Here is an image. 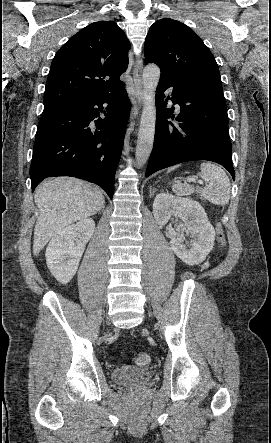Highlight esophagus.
Listing matches in <instances>:
<instances>
[{
	"label": "esophagus",
	"mask_w": 271,
	"mask_h": 443,
	"mask_svg": "<svg viewBox=\"0 0 271 443\" xmlns=\"http://www.w3.org/2000/svg\"><path fill=\"white\" fill-rule=\"evenodd\" d=\"M142 69H143V58L142 55L136 57L134 70H133V95L137 102V107L140 110L143 106L144 94H143V82H142ZM134 115L131 113L130 119L133 120Z\"/></svg>",
	"instance_id": "obj_1"
}]
</instances>
